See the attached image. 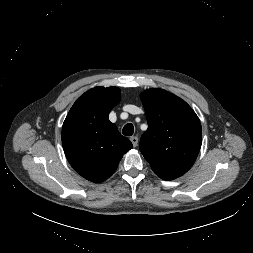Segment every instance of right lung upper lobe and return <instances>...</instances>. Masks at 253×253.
<instances>
[{
    "label": "right lung upper lobe",
    "instance_id": "cb5924a9",
    "mask_svg": "<svg viewBox=\"0 0 253 253\" xmlns=\"http://www.w3.org/2000/svg\"><path fill=\"white\" fill-rule=\"evenodd\" d=\"M119 102V88H92L76 100L63 123L61 138L66 158L89 181L101 183L109 178L133 147L108 118Z\"/></svg>",
    "mask_w": 253,
    "mask_h": 253
}]
</instances>
